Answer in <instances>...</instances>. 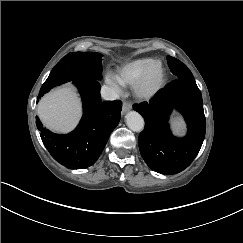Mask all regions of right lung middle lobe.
Masks as SVG:
<instances>
[{
	"instance_id": "dd1d6c3e",
	"label": "right lung middle lobe",
	"mask_w": 243,
	"mask_h": 243,
	"mask_svg": "<svg viewBox=\"0 0 243 243\" xmlns=\"http://www.w3.org/2000/svg\"><path fill=\"white\" fill-rule=\"evenodd\" d=\"M102 54L97 52H74L64 56L52 69L42 85L38 98L56 85L81 78H102Z\"/></svg>"
}]
</instances>
